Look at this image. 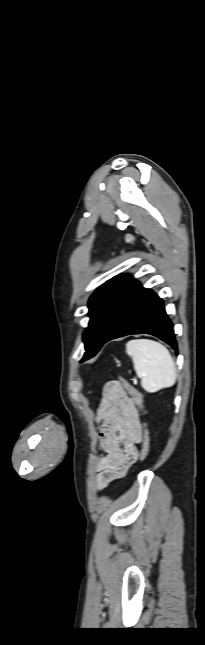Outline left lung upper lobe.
I'll list each match as a JSON object with an SVG mask.
<instances>
[{
    "label": "left lung upper lobe",
    "mask_w": 205,
    "mask_h": 645,
    "mask_svg": "<svg viewBox=\"0 0 205 645\" xmlns=\"http://www.w3.org/2000/svg\"><path fill=\"white\" fill-rule=\"evenodd\" d=\"M128 277V274L114 277L100 286L90 297L88 304L90 322L83 337L87 352L81 362L93 357L101 348L109 326L113 304Z\"/></svg>",
    "instance_id": "1"
}]
</instances>
